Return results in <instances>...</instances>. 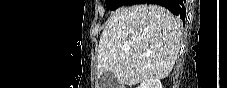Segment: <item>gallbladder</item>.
<instances>
[{"instance_id": "bac80fb5", "label": "gallbladder", "mask_w": 227, "mask_h": 88, "mask_svg": "<svg viewBox=\"0 0 227 88\" xmlns=\"http://www.w3.org/2000/svg\"><path fill=\"white\" fill-rule=\"evenodd\" d=\"M98 85L100 88H117L118 82L113 73L107 72L100 76Z\"/></svg>"}]
</instances>
